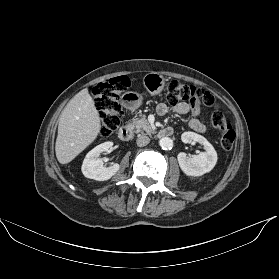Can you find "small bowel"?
<instances>
[{"mask_svg": "<svg viewBox=\"0 0 279 279\" xmlns=\"http://www.w3.org/2000/svg\"><path fill=\"white\" fill-rule=\"evenodd\" d=\"M171 110L176 114L184 115L194 110V108H192L189 104L185 102H181L175 105ZM168 111L169 108L163 103L157 106V113L161 116L167 114ZM189 127L197 132H204L206 129L205 125L196 118H192L189 120Z\"/></svg>", "mask_w": 279, "mask_h": 279, "instance_id": "1", "label": "small bowel"}]
</instances>
